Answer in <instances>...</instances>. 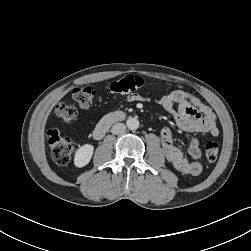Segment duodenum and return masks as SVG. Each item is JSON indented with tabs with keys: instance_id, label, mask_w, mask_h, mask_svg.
<instances>
[{
	"instance_id": "obj_1",
	"label": "duodenum",
	"mask_w": 251,
	"mask_h": 251,
	"mask_svg": "<svg viewBox=\"0 0 251 251\" xmlns=\"http://www.w3.org/2000/svg\"><path fill=\"white\" fill-rule=\"evenodd\" d=\"M123 112H114L105 115L96 125L93 135L96 139H101L106 132L110 129V127L116 122L121 121L124 118Z\"/></svg>"
}]
</instances>
